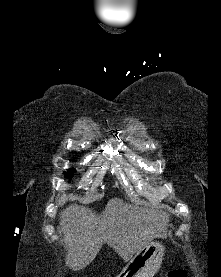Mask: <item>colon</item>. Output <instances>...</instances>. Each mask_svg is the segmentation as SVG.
Masks as SVG:
<instances>
[{"instance_id":"colon-1","label":"colon","mask_w":221,"mask_h":277,"mask_svg":"<svg viewBox=\"0 0 221 277\" xmlns=\"http://www.w3.org/2000/svg\"><path fill=\"white\" fill-rule=\"evenodd\" d=\"M167 277H186V272L182 269H173L168 272Z\"/></svg>"}]
</instances>
